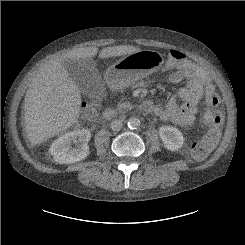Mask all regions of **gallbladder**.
Segmentation results:
<instances>
[{"instance_id": "gallbladder-1", "label": "gallbladder", "mask_w": 245, "mask_h": 245, "mask_svg": "<svg viewBox=\"0 0 245 245\" xmlns=\"http://www.w3.org/2000/svg\"><path fill=\"white\" fill-rule=\"evenodd\" d=\"M69 77L79 90L88 96H102L103 82L101 75L92 62L87 59L70 60L65 62Z\"/></svg>"}]
</instances>
